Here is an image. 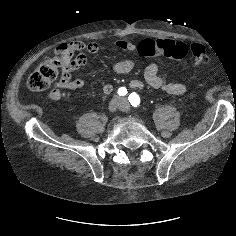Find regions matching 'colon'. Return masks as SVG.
I'll list each match as a JSON object with an SVG mask.
<instances>
[{
	"instance_id": "5ec220e1",
	"label": "colon",
	"mask_w": 236,
	"mask_h": 236,
	"mask_svg": "<svg viewBox=\"0 0 236 236\" xmlns=\"http://www.w3.org/2000/svg\"><path fill=\"white\" fill-rule=\"evenodd\" d=\"M191 51L194 58V65L201 66L208 63L209 58L205 47L199 43H192L190 48L182 42L172 40H159L155 43L145 40L141 43L139 54L143 57L164 55L165 57L180 60ZM72 58V52L67 45L56 48L52 57L42 61L31 73L28 79V86L32 91H42L55 83L60 74L68 66Z\"/></svg>"
}]
</instances>
